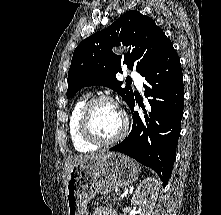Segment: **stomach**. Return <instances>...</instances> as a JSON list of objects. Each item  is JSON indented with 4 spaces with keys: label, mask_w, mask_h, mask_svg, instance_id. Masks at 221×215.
Instances as JSON below:
<instances>
[{
    "label": "stomach",
    "mask_w": 221,
    "mask_h": 215,
    "mask_svg": "<svg viewBox=\"0 0 221 215\" xmlns=\"http://www.w3.org/2000/svg\"><path fill=\"white\" fill-rule=\"evenodd\" d=\"M139 165L129 157L107 152L77 163L67 180L68 215H88L87 204L96 194H108L138 179Z\"/></svg>",
    "instance_id": "0dacf381"
}]
</instances>
